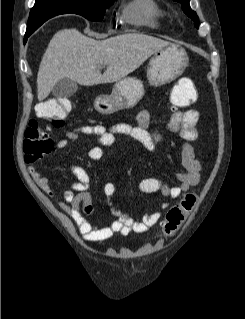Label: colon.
<instances>
[{
  "label": "colon",
  "instance_id": "5ec220e1",
  "mask_svg": "<svg viewBox=\"0 0 245 319\" xmlns=\"http://www.w3.org/2000/svg\"><path fill=\"white\" fill-rule=\"evenodd\" d=\"M172 102L178 108L191 104L180 91H173ZM70 109L71 103L69 100L59 97L42 102L38 106L37 111L41 117L49 120L52 126L60 127L64 124ZM49 129H41L35 119L29 122L25 130L23 142L26 163H36L45 155L52 152L53 142L48 133ZM197 201L198 195L196 193H188L177 205L168 210L163 222V231L166 235H173L180 228L186 217L195 208Z\"/></svg>",
  "mask_w": 245,
  "mask_h": 319
}]
</instances>
